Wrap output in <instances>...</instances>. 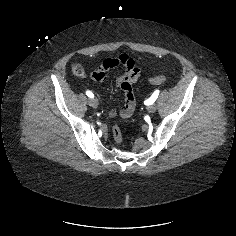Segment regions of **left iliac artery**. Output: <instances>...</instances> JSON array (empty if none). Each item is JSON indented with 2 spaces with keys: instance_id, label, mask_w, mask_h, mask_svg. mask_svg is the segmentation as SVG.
<instances>
[{
  "instance_id": "obj_1",
  "label": "left iliac artery",
  "mask_w": 236,
  "mask_h": 236,
  "mask_svg": "<svg viewBox=\"0 0 236 236\" xmlns=\"http://www.w3.org/2000/svg\"><path fill=\"white\" fill-rule=\"evenodd\" d=\"M158 95H159V90H156L152 94V96L148 100L145 101V104H147V105L153 104L155 102V100L157 99Z\"/></svg>"
}]
</instances>
